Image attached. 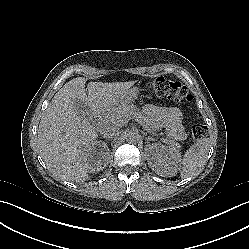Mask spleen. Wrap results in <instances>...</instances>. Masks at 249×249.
Returning <instances> with one entry per match:
<instances>
[{
  "instance_id": "1",
  "label": "spleen",
  "mask_w": 249,
  "mask_h": 249,
  "mask_svg": "<svg viewBox=\"0 0 249 249\" xmlns=\"http://www.w3.org/2000/svg\"><path fill=\"white\" fill-rule=\"evenodd\" d=\"M209 141L205 139L199 140L195 143L183 156L179 157L175 153L169 157L172 164H181L183 170L196 171L205 162L206 154L209 149Z\"/></svg>"
}]
</instances>
